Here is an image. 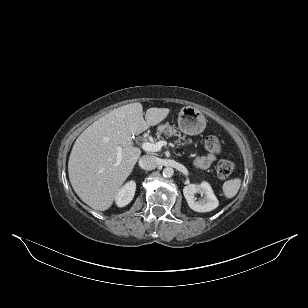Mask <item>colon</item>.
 I'll return each mask as SVG.
<instances>
[{
	"label": "colon",
	"instance_id": "colon-1",
	"mask_svg": "<svg viewBox=\"0 0 308 308\" xmlns=\"http://www.w3.org/2000/svg\"><path fill=\"white\" fill-rule=\"evenodd\" d=\"M205 149L210 154H217L221 151V142L214 136L210 135L205 139ZM234 171V163L230 160H221L216 166V174L219 179L229 178Z\"/></svg>",
	"mask_w": 308,
	"mask_h": 308
}]
</instances>
